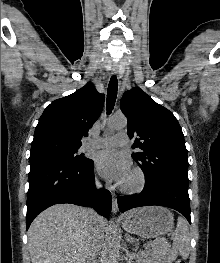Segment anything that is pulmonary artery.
Masks as SVG:
<instances>
[{
  "label": "pulmonary artery",
  "mask_w": 220,
  "mask_h": 263,
  "mask_svg": "<svg viewBox=\"0 0 220 263\" xmlns=\"http://www.w3.org/2000/svg\"><path fill=\"white\" fill-rule=\"evenodd\" d=\"M129 142V137L126 133L121 132L113 136L102 137L98 140L91 141L84 148H106L118 145H126Z\"/></svg>",
  "instance_id": "1"
}]
</instances>
